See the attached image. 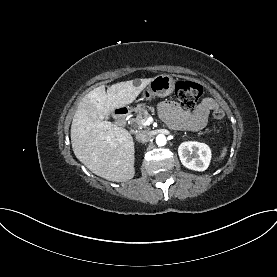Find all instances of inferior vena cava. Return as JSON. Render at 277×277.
<instances>
[{
  "instance_id": "inferior-vena-cava-1",
  "label": "inferior vena cava",
  "mask_w": 277,
  "mask_h": 277,
  "mask_svg": "<svg viewBox=\"0 0 277 277\" xmlns=\"http://www.w3.org/2000/svg\"><path fill=\"white\" fill-rule=\"evenodd\" d=\"M151 138V135L148 131H139L136 134V140L138 142H148Z\"/></svg>"
}]
</instances>
